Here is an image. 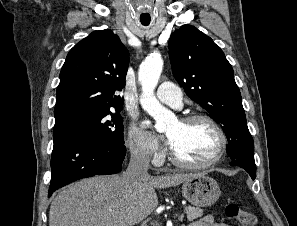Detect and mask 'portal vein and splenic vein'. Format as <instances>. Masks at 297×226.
<instances>
[{
  "mask_svg": "<svg viewBox=\"0 0 297 226\" xmlns=\"http://www.w3.org/2000/svg\"><path fill=\"white\" fill-rule=\"evenodd\" d=\"M183 218H184V215L183 214H181V215L178 216V219L179 220H182Z\"/></svg>",
  "mask_w": 297,
  "mask_h": 226,
  "instance_id": "1",
  "label": "portal vein and splenic vein"
}]
</instances>
